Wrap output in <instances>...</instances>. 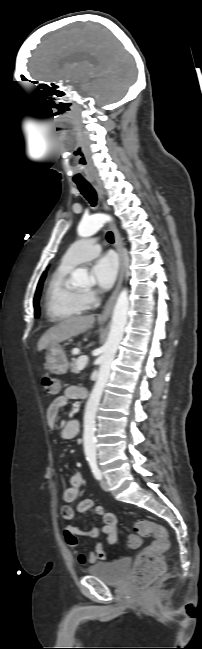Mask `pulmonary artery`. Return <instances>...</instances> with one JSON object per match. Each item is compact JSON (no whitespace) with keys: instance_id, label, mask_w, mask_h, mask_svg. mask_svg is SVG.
Instances as JSON below:
<instances>
[{"instance_id":"obj_1","label":"pulmonary artery","mask_w":202,"mask_h":649,"mask_svg":"<svg viewBox=\"0 0 202 649\" xmlns=\"http://www.w3.org/2000/svg\"><path fill=\"white\" fill-rule=\"evenodd\" d=\"M101 251L99 242L95 239H81L74 242L63 256L62 263L75 266L85 260H89Z\"/></svg>"}]
</instances>
